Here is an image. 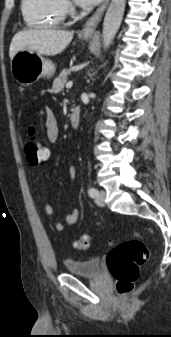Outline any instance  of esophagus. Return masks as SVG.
<instances>
[{
    "mask_svg": "<svg viewBox=\"0 0 171 337\" xmlns=\"http://www.w3.org/2000/svg\"><path fill=\"white\" fill-rule=\"evenodd\" d=\"M109 4V0H104L103 4L94 12V14L88 19V21L85 23L82 34L85 36L92 35L98 24L100 23L103 14Z\"/></svg>",
    "mask_w": 171,
    "mask_h": 337,
    "instance_id": "obj_1",
    "label": "esophagus"
}]
</instances>
